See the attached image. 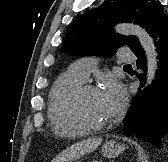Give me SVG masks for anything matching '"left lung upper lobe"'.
<instances>
[{
  "instance_id": "left-lung-upper-lobe-1",
  "label": "left lung upper lobe",
  "mask_w": 168,
  "mask_h": 162,
  "mask_svg": "<svg viewBox=\"0 0 168 162\" xmlns=\"http://www.w3.org/2000/svg\"><path fill=\"white\" fill-rule=\"evenodd\" d=\"M164 15L163 7L157 0H108L71 23L60 53L109 57L124 45L134 51L140 46L137 37L116 34L114 25L133 22L149 32Z\"/></svg>"
}]
</instances>
